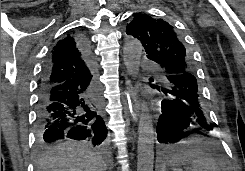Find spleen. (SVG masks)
Returning a JSON list of instances; mask_svg holds the SVG:
<instances>
[{"instance_id": "obj_1", "label": "spleen", "mask_w": 245, "mask_h": 171, "mask_svg": "<svg viewBox=\"0 0 245 171\" xmlns=\"http://www.w3.org/2000/svg\"><path fill=\"white\" fill-rule=\"evenodd\" d=\"M186 158L191 159L193 171H220L216 160L208 153L200 149H191L176 158L177 162L184 161ZM175 171H182L176 169Z\"/></svg>"}]
</instances>
